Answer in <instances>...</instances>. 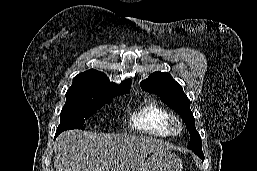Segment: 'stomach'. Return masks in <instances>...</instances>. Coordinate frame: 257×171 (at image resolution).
<instances>
[{
	"label": "stomach",
	"instance_id": "1",
	"mask_svg": "<svg viewBox=\"0 0 257 171\" xmlns=\"http://www.w3.org/2000/svg\"><path fill=\"white\" fill-rule=\"evenodd\" d=\"M144 171H182V162L171 152L158 151L147 159Z\"/></svg>",
	"mask_w": 257,
	"mask_h": 171
}]
</instances>
